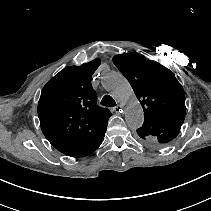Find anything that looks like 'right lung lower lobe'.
<instances>
[{
	"label": "right lung lower lobe",
	"instance_id": "1",
	"mask_svg": "<svg viewBox=\"0 0 211 211\" xmlns=\"http://www.w3.org/2000/svg\"><path fill=\"white\" fill-rule=\"evenodd\" d=\"M108 121L97 132L88 136H82L72 141L60 144L55 148L61 153L71 157H85L93 153L102 143Z\"/></svg>",
	"mask_w": 211,
	"mask_h": 211
}]
</instances>
